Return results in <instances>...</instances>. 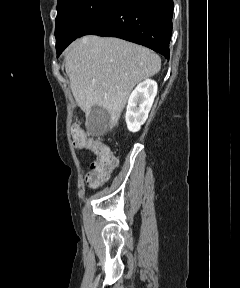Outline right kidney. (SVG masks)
<instances>
[{
    "label": "right kidney",
    "mask_w": 240,
    "mask_h": 288,
    "mask_svg": "<svg viewBox=\"0 0 240 288\" xmlns=\"http://www.w3.org/2000/svg\"><path fill=\"white\" fill-rule=\"evenodd\" d=\"M157 83L146 79L139 83L131 93L126 108L125 120L131 132H138L148 118L154 98L157 94Z\"/></svg>",
    "instance_id": "ca27d5eb"
}]
</instances>
